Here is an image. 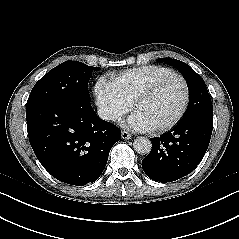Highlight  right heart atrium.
<instances>
[{
	"label": "right heart atrium",
	"mask_w": 239,
	"mask_h": 239,
	"mask_svg": "<svg viewBox=\"0 0 239 239\" xmlns=\"http://www.w3.org/2000/svg\"><path fill=\"white\" fill-rule=\"evenodd\" d=\"M94 94L99 113L106 121L117 122L129 110V103L117 92L112 82L104 77L97 80Z\"/></svg>",
	"instance_id": "d8ad5b80"
}]
</instances>
